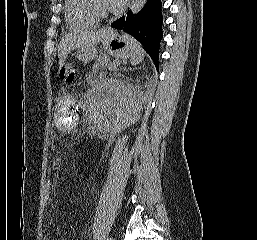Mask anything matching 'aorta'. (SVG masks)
<instances>
[{"label": "aorta", "instance_id": "1", "mask_svg": "<svg viewBox=\"0 0 257 240\" xmlns=\"http://www.w3.org/2000/svg\"><path fill=\"white\" fill-rule=\"evenodd\" d=\"M146 0H132V14H138L141 9L143 8L144 4H145Z\"/></svg>", "mask_w": 257, "mask_h": 240}]
</instances>
